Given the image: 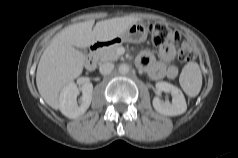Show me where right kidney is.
Segmentation results:
<instances>
[{"label":"right kidney","instance_id":"right-kidney-1","mask_svg":"<svg viewBox=\"0 0 238 158\" xmlns=\"http://www.w3.org/2000/svg\"><path fill=\"white\" fill-rule=\"evenodd\" d=\"M82 96L77 103L79 93ZM93 95V85L90 82L83 84L80 88L73 82L68 83L61 90L59 97V106L63 115L74 119L84 114L89 108Z\"/></svg>","mask_w":238,"mask_h":158}]
</instances>
